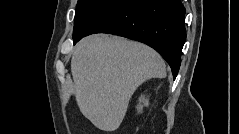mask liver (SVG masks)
<instances>
[{"instance_id":"1","label":"liver","mask_w":239,"mask_h":134,"mask_svg":"<svg viewBox=\"0 0 239 134\" xmlns=\"http://www.w3.org/2000/svg\"><path fill=\"white\" fill-rule=\"evenodd\" d=\"M71 73L80 111L94 126L110 132L119 128L138 86L150 78H165L166 66L144 44L97 34L77 44Z\"/></svg>"}]
</instances>
